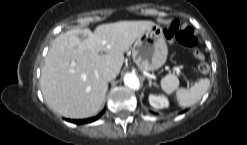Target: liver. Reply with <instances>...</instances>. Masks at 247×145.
Wrapping results in <instances>:
<instances>
[{"label":"liver","mask_w":247,"mask_h":145,"mask_svg":"<svg viewBox=\"0 0 247 145\" xmlns=\"http://www.w3.org/2000/svg\"><path fill=\"white\" fill-rule=\"evenodd\" d=\"M154 25L152 21H120L99 25L94 32L71 29L56 37L41 70L46 104L68 118L96 115L108 90L103 70L119 74L124 52Z\"/></svg>","instance_id":"6515ba94"}]
</instances>
